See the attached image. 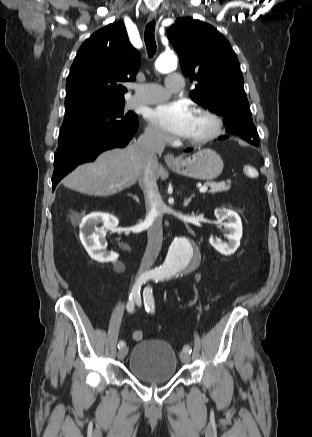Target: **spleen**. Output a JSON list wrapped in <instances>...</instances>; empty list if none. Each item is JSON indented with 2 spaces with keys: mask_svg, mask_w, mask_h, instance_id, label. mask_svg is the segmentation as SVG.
<instances>
[{
  "mask_svg": "<svg viewBox=\"0 0 312 437\" xmlns=\"http://www.w3.org/2000/svg\"><path fill=\"white\" fill-rule=\"evenodd\" d=\"M245 170H247V171H248V170H249V167H245ZM252 174H253V175H255V174H256V172H253Z\"/></svg>",
  "mask_w": 312,
  "mask_h": 437,
  "instance_id": "3e777b00",
  "label": "spleen"
}]
</instances>
